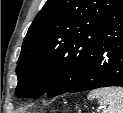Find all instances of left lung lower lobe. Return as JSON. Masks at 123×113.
Segmentation results:
<instances>
[{
	"label": "left lung lower lobe",
	"instance_id": "left-lung-lower-lobe-1",
	"mask_svg": "<svg viewBox=\"0 0 123 113\" xmlns=\"http://www.w3.org/2000/svg\"><path fill=\"white\" fill-rule=\"evenodd\" d=\"M107 86L123 87V0H117L104 17L81 79L66 92Z\"/></svg>",
	"mask_w": 123,
	"mask_h": 113
}]
</instances>
